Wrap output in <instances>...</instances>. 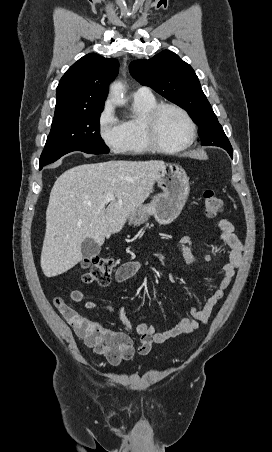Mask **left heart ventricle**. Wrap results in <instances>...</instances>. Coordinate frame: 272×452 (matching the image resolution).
Wrapping results in <instances>:
<instances>
[{
  "label": "left heart ventricle",
  "mask_w": 272,
  "mask_h": 452,
  "mask_svg": "<svg viewBox=\"0 0 272 452\" xmlns=\"http://www.w3.org/2000/svg\"><path fill=\"white\" fill-rule=\"evenodd\" d=\"M189 129L184 117L173 109H165L157 122L159 141L173 147L183 143L188 137Z\"/></svg>",
  "instance_id": "left-heart-ventricle-1"
}]
</instances>
